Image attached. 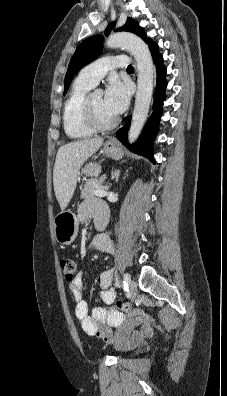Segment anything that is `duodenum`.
<instances>
[{"label": "duodenum", "mask_w": 227, "mask_h": 396, "mask_svg": "<svg viewBox=\"0 0 227 396\" xmlns=\"http://www.w3.org/2000/svg\"><path fill=\"white\" fill-rule=\"evenodd\" d=\"M107 221H108L107 215H103V216L99 217L97 219V221L95 222L97 229L104 230L107 226Z\"/></svg>", "instance_id": "410a0bca"}]
</instances>
